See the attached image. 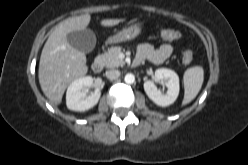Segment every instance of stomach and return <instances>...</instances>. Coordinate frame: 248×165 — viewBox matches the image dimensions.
<instances>
[{"label":"stomach","mask_w":248,"mask_h":165,"mask_svg":"<svg viewBox=\"0 0 248 165\" xmlns=\"http://www.w3.org/2000/svg\"><path fill=\"white\" fill-rule=\"evenodd\" d=\"M141 30H142L141 24L130 25L120 30L117 34L111 36L108 39V43L112 44V43H120V42L133 40L141 33Z\"/></svg>","instance_id":"obj_1"}]
</instances>
